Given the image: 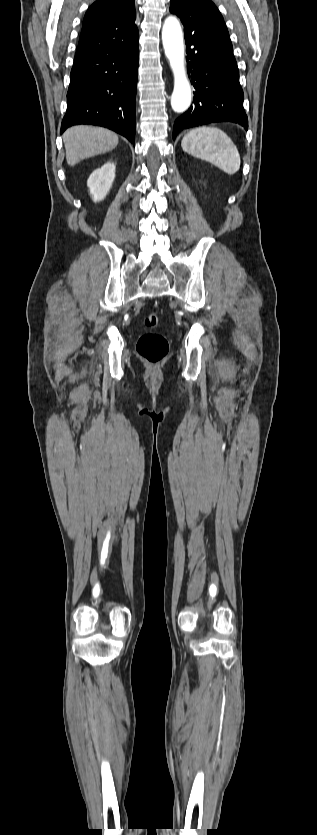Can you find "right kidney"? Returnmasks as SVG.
Segmentation results:
<instances>
[{"mask_svg": "<svg viewBox=\"0 0 317 835\" xmlns=\"http://www.w3.org/2000/svg\"><path fill=\"white\" fill-rule=\"evenodd\" d=\"M115 178V164L107 162L96 169L89 177L87 186L95 202L103 200L112 187Z\"/></svg>", "mask_w": 317, "mask_h": 835, "instance_id": "obj_1", "label": "right kidney"}]
</instances>
